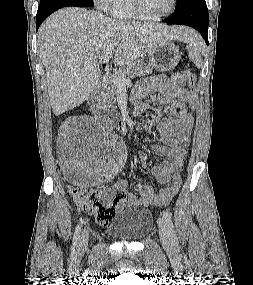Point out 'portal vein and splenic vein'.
<instances>
[{
	"mask_svg": "<svg viewBox=\"0 0 253 285\" xmlns=\"http://www.w3.org/2000/svg\"><path fill=\"white\" fill-rule=\"evenodd\" d=\"M118 46V43H113L111 44L108 48H107V51L106 53L104 54L105 56H107L108 54H110L112 52V50ZM106 69L107 71L109 72V66L107 65L106 66ZM109 78L117 85L119 86H125V85H128L131 80L130 79H124V78H120L118 76H116L115 74H111L109 76Z\"/></svg>",
	"mask_w": 253,
	"mask_h": 285,
	"instance_id": "portal-vein-and-splenic-vein-1",
	"label": "portal vein and splenic vein"
}]
</instances>
